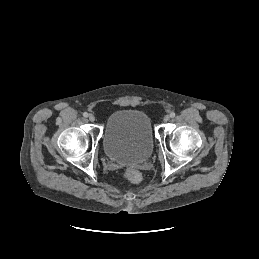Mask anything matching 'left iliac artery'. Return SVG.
<instances>
[{
    "mask_svg": "<svg viewBox=\"0 0 259 259\" xmlns=\"http://www.w3.org/2000/svg\"><path fill=\"white\" fill-rule=\"evenodd\" d=\"M170 117H171V118H174V117H175V113H174V112H171V113H170Z\"/></svg>",
    "mask_w": 259,
    "mask_h": 259,
    "instance_id": "obj_1",
    "label": "left iliac artery"
}]
</instances>
